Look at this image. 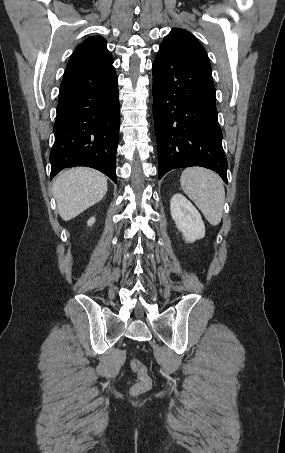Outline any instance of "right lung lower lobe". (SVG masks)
Segmentation results:
<instances>
[{
  "label": "right lung lower lobe",
  "mask_w": 285,
  "mask_h": 453,
  "mask_svg": "<svg viewBox=\"0 0 285 453\" xmlns=\"http://www.w3.org/2000/svg\"><path fill=\"white\" fill-rule=\"evenodd\" d=\"M119 92L114 67L67 68L59 92L50 152L51 178L60 170L88 166L116 183Z\"/></svg>",
  "instance_id": "right-lung-lower-lobe-1"
}]
</instances>
